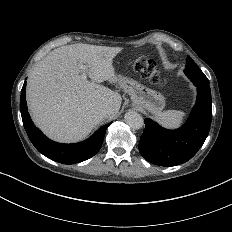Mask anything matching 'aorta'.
Masks as SVG:
<instances>
[{"mask_svg": "<svg viewBox=\"0 0 232 232\" xmlns=\"http://www.w3.org/2000/svg\"><path fill=\"white\" fill-rule=\"evenodd\" d=\"M124 121L130 128L134 130L141 129L144 125V119L139 113L135 111L127 112L124 116Z\"/></svg>", "mask_w": 232, "mask_h": 232, "instance_id": "762f6f07", "label": "aorta"}]
</instances>
